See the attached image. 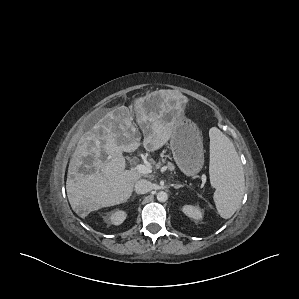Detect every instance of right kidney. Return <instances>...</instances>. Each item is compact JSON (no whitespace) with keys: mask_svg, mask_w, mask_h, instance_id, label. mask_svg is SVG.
<instances>
[{"mask_svg":"<svg viewBox=\"0 0 299 299\" xmlns=\"http://www.w3.org/2000/svg\"><path fill=\"white\" fill-rule=\"evenodd\" d=\"M126 216L125 211L117 209L110 214L108 220L111 224L120 225L126 219Z\"/></svg>","mask_w":299,"mask_h":299,"instance_id":"right-kidney-1","label":"right kidney"}]
</instances>
